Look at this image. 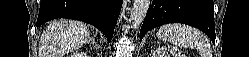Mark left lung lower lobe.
Masks as SVG:
<instances>
[{
    "label": "left lung lower lobe",
    "mask_w": 249,
    "mask_h": 57,
    "mask_svg": "<svg viewBox=\"0 0 249 57\" xmlns=\"http://www.w3.org/2000/svg\"><path fill=\"white\" fill-rule=\"evenodd\" d=\"M140 30V40L151 29L183 23L207 34L215 44L213 0H152Z\"/></svg>",
    "instance_id": "0a47b994"
}]
</instances>
